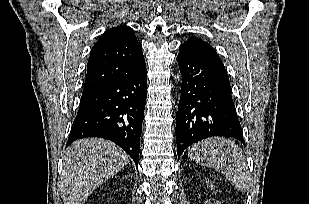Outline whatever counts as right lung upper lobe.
<instances>
[{
  "instance_id": "obj_1",
  "label": "right lung upper lobe",
  "mask_w": 309,
  "mask_h": 204,
  "mask_svg": "<svg viewBox=\"0 0 309 204\" xmlns=\"http://www.w3.org/2000/svg\"><path fill=\"white\" fill-rule=\"evenodd\" d=\"M146 66L134 30L122 25L104 32L93 46L87 64V92L140 71Z\"/></svg>"
}]
</instances>
